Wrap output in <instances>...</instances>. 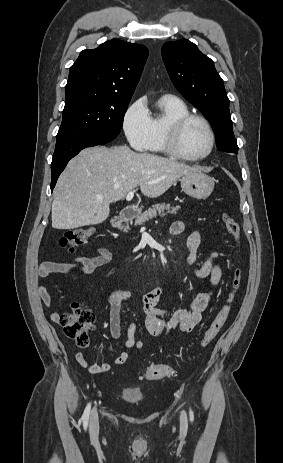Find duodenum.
Returning a JSON list of instances; mask_svg holds the SVG:
<instances>
[{"instance_id":"obj_1","label":"duodenum","mask_w":283,"mask_h":463,"mask_svg":"<svg viewBox=\"0 0 283 463\" xmlns=\"http://www.w3.org/2000/svg\"><path fill=\"white\" fill-rule=\"evenodd\" d=\"M137 215L136 208L132 205L125 207L113 220L112 226L118 228L123 223L132 220Z\"/></svg>"}]
</instances>
